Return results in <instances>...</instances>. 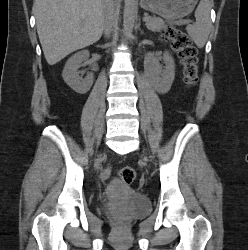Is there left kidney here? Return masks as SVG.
Instances as JSON below:
<instances>
[{"mask_svg": "<svg viewBox=\"0 0 248 250\" xmlns=\"http://www.w3.org/2000/svg\"><path fill=\"white\" fill-rule=\"evenodd\" d=\"M163 59L166 64L165 70L162 71L157 69L154 77V87L159 92L169 89L175 77L173 57L169 52H165L163 54Z\"/></svg>", "mask_w": 248, "mask_h": 250, "instance_id": "5707ae66", "label": "left kidney"}]
</instances>
